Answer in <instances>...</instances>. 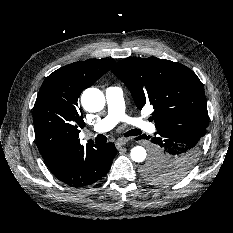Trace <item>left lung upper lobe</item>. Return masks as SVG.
I'll return each instance as SVG.
<instances>
[{"label": "left lung upper lobe", "mask_w": 233, "mask_h": 233, "mask_svg": "<svg viewBox=\"0 0 233 233\" xmlns=\"http://www.w3.org/2000/svg\"><path fill=\"white\" fill-rule=\"evenodd\" d=\"M112 73L123 81L139 110L151 104L157 130L189 127L205 134L208 111L202 83L188 67L169 60L128 58L119 61ZM194 166V165H193ZM161 161L151 160L144 175L161 182H173L186 176L192 168L175 170L178 176L164 170Z\"/></svg>", "instance_id": "obj_1"}]
</instances>
